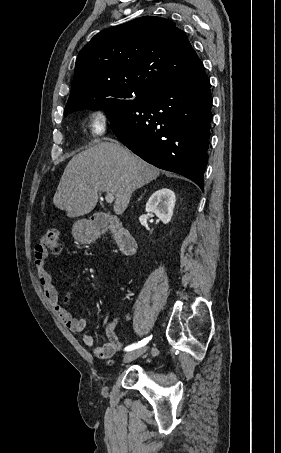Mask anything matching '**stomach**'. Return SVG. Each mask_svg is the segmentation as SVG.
<instances>
[{"label":"stomach","instance_id":"0dacf381","mask_svg":"<svg viewBox=\"0 0 281 453\" xmlns=\"http://www.w3.org/2000/svg\"><path fill=\"white\" fill-rule=\"evenodd\" d=\"M72 235L78 243H92L95 239V231L92 229L89 220H76L73 224Z\"/></svg>","mask_w":281,"mask_h":453}]
</instances>
